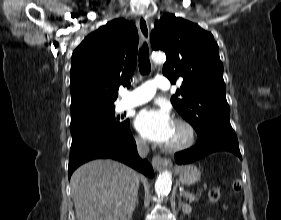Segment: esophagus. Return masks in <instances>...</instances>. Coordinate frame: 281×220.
Masks as SVG:
<instances>
[{"label": "esophagus", "mask_w": 281, "mask_h": 220, "mask_svg": "<svg viewBox=\"0 0 281 220\" xmlns=\"http://www.w3.org/2000/svg\"><path fill=\"white\" fill-rule=\"evenodd\" d=\"M137 26L139 29V32L143 38V40L147 43H149L150 39V30L148 21L145 18V16H140L137 22ZM152 165L157 170H163V169H169L173 166L172 160L169 158H163L159 155H156L152 159Z\"/></svg>", "instance_id": "34e87169"}]
</instances>
